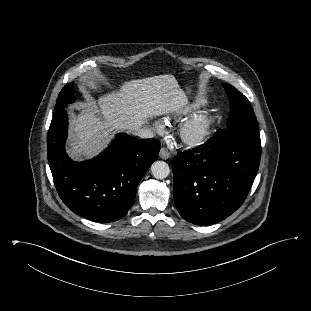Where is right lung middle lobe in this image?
I'll use <instances>...</instances> for the list:
<instances>
[{
	"label": "right lung middle lobe",
	"instance_id": "dd1d6c3e",
	"mask_svg": "<svg viewBox=\"0 0 311 311\" xmlns=\"http://www.w3.org/2000/svg\"><path fill=\"white\" fill-rule=\"evenodd\" d=\"M74 100L73 84H66L58 95L55 106V114L60 112L66 105Z\"/></svg>",
	"mask_w": 311,
	"mask_h": 311
}]
</instances>
